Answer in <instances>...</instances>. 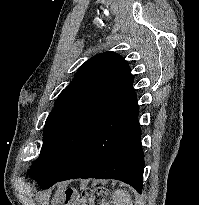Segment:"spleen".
<instances>
[{"instance_id":"obj_1","label":"spleen","mask_w":199,"mask_h":205,"mask_svg":"<svg viewBox=\"0 0 199 205\" xmlns=\"http://www.w3.org/2000/svg\"><path fill=\"white\" fill-rule=\"evenodd\" d=\"M115 205H133L131 195L125 190H116L113 193Z\"/></svg>"}]
</instances>
